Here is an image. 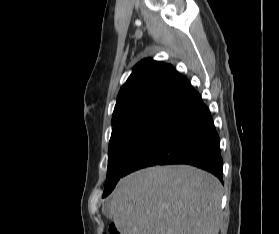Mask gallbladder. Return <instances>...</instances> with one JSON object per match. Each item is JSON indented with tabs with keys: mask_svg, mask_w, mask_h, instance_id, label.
Instances as JSON below:
<instances>
[{
	"mask_svg": "<svg viewBox=\"0 0 279 234\" xmlns=\"http://www.w3.org/2000/svg\"><path fill=\"white\" fill-rule=\"evenodd\" d=\"M105 206H106V205H105ZM105 206H104L103 209H102L103 213L105 214L106 217L112 218L111 213L109 212V210H108L107 207H105Z\"/></svg>",
	"mask_w": 279,
	"mask_h": 234,
	"instance_id": "gallbladder-1",
	"label": "gallbladder"
}]
</instances>
